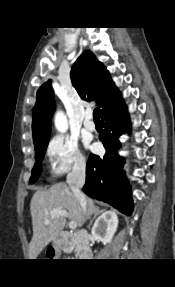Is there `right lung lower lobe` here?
<instances>
[{"mask_svg":"<svg viewBox=\"0 0 175 287\" xmlns=\"http://www.w3.org/2000/svg\"><path fill=\"white\" fill-rule=\"evenodd\" d=\"M101 119L105 129L100 134V140L104 144L106 154L103 158L90 155L83 191L89 197L102 200L130 216L133 211L131 190L122 170L124 159L117 153L120 145L117 136L125 130L130 132V121L124 101L104 112Z\"/></svg>","mask_w":175,"mask_h":287,"instance_id":"1","label":"right lung lower lobe"}]
</instances>
